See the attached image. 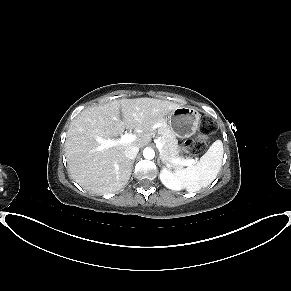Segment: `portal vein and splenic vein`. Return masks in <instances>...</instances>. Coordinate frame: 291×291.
Here are the masks:
<instances>
[{"label": "portal vein and splenic vein", "instance_id": "1", "mask_svg": "<svg viewBox=\"0 0 291 291\" xmlns=\"http://www.w3.org/2000/svg\"><path fill=\"white\" fill-rule=\"evenodd\" d=\"M135 139H136V135L127 133L121 136V138L119 139L105 140V139L97 138V141L101 144V148H108V147H113L120 144L131 143ZM156 147L159 150L163 148V144L161 143L160 140L156 143ZM194 163H195L194 159H187V160L181 161V164L184 166H192Z\"/></svg>", "mask_w": 291, "mask_h": 291}]
</instances>
